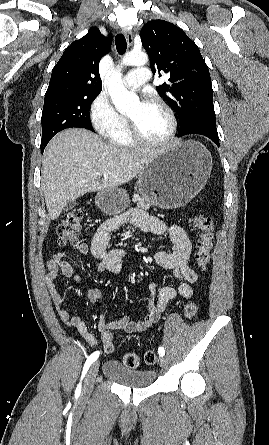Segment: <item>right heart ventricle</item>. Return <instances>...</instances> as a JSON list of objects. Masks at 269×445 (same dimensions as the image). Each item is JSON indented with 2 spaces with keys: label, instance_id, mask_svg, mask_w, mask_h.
Instances as JSON below:
<instances>
[{
  "label": "right heart ventricle",
  "instance_id": "e07e8e85",
  "mask_svg": "<svg viewBox=\"0 0 269 445\" xmlns=\"http://www.w3.org/2000/svg\"><path fill=\"white\" fill-rule=\"evenodd\" d=\"M109 141L119 147H133L136 141L133 139L125 117L121 116L120 122L106 133Z\"/></svg>",
  "mask_w": 269,
  "mask_h": 445
}]
</instances>
